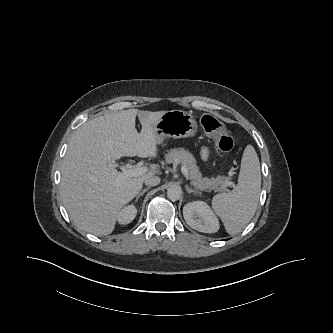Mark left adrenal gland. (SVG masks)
<instances>
[{
	"instance_id": "a2214340",
	"label": "left adrenal gland",
	"mask_w": 333,
	"mask_h": 333,
	"mask_svg": "<svg viewBox=\"0 0 333 333\" xmlns=\"http://www.w3.org/2000/svg\"><path fill=\"white\" fill-rule=\"evenodd\" d=\"M185 188H186V191H187L188 193H192V192H194V193H197V194H201V192H199V191H197V190H195V189H191V188H189L188 185H186Z\"/></svg>"
}]
</instances>
